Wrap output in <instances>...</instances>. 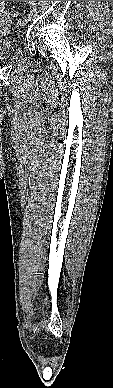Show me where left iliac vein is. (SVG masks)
I'll return each instance as SVG.
<instances>
[{
    "label": "left iliac vein",
    "instance_id": "4c4485c4",
    "mask_svg": "<svg viewBox=\"0 0 113 388\" xmlns=\"http://www.w3.org/2000/svg\"><path fill=\"white\" fill-rule=\"evenodd\" d=\"M28 18L26 17V15H24V16H22L20 19H19V24L21 25V26H26L27 25V23H28Z\"/></svg>",
    "mask_w": 113,
    "mask_h": 388
}]
</instances>
